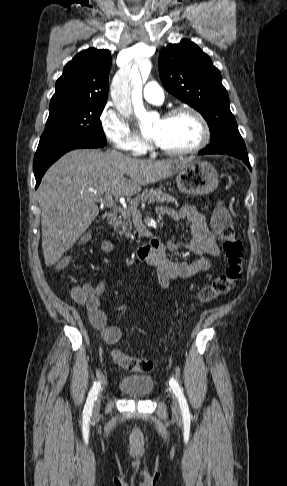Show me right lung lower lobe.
Wrapping results in <instances>:
<instances>
[{
  "instance_id": "1",
  "label": "right lung lower lobe",
  "mask_w": 287,
  "mask_h": 486,
  "mask_svg": "<svg viewBox=\"0 0 287 486\" xmlns=\"http://www.w3.org/2000/svg\"><path fill=\"white\" fill-rule=\"evenodd\" d=\"M96 144H72L50 150L37 151L33 162V171L36 179V188L48 167L66 152L76 148H99Z\"/></svg>"
}]
</instances>
